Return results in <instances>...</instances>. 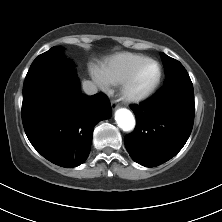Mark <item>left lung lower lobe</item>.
<instances>
[{
  "instance_id": "1",
  "label": "left lung lower lobe",
  "mask_w": 222,
  "mask_h": 222,
  "mask_svg": "<svg viewBox=\"0 0 222 222\" xmlns=\"http://www.w3.org/2000/svg\"><path fill=\"white\" fill-rule=\"evenodd\" d=\"M135 131L124 138L131 158L146 167L174 157L185 145L194 122L191 81L165 84L150 100L132 106Z\"/></svg>"
}]
</instances>
